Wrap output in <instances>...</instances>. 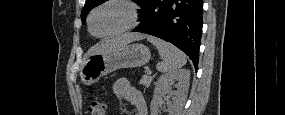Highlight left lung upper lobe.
<instances>
[{
	"label": "left lung upper lobe",
	"mask_w": 285,
	"mask_h": 115,
	"mask_svg": "<svg viewBox=\"0 0 285 115\" xmlns=\"http://www.w3.org/2000/svg\"><path fill=\"white\" fill-rule=\"evenodd\" d=\"M138 5L141 6V4L144 2V0H134ZM105 0H86V3L81 11V18H82V23L85 22V16L87 13L94 7L104 3Z\"/></svg>",
	"instance_id": "left-lung-upper-lobe-1"
}]
</instances>
